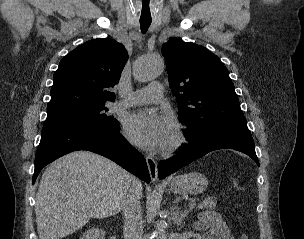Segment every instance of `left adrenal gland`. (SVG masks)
<instances>
[{
    "label": "left adrenal gland",
    "mask_w": 304,
    "mask_h": 239,
    "mask_svg": "<svg viewBox=\"0 0 304 239\" xmlns=\"http://www.w3.org/2000/svg\"><path fill=\"white\" fill-rule=\"evenodd\" d=\"M171 210H172V220L174 221V224H176L177 226H183L184 218L188 215L189 210L184 209L180 211L178 205L173 206Z\"/></svg>",
    "instance_id": "obj_1"
}]
</instances>
